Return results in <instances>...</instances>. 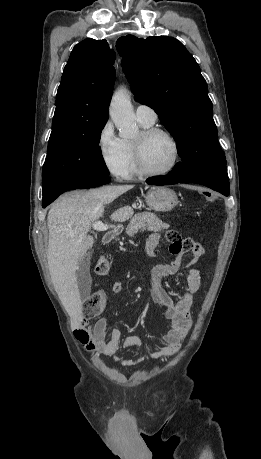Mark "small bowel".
Returning a JSON list of instances; mask_svg holds the SVG:
<instances>
[{"label":"small bowel","mask_w":261,"mask_h":459,"mask_svg":"<svg viewBox=\"0 0 261 459\" xmlns=\"http://www.w3.org/2000/svg\"><path fill=\"white\" fill-rule=\"evenodd\" d=\"M172 237H168L169 252L173 256L170 264L159 267L151 277L152 299L164 309V317L169 322L170 330L162 336L158 345L149 348L135 360H123L116 353L127 347H136L142 350L143 342L138 336L122 338L118 329L107 333V321L105 318L98 319L93 325L87 320H81L74 330V336L82 347L89 353L100 354L111 358L123 367L134 366L148 358L165 359L176 354L182 341L191 326L190 308L192 296L200 287V272L194 267L202 255V247L190 238H182L177 232L172 231ZM160 236L156 233L149 237L148 251L155 253L159 246ZM191 253L187 263L186 283L179 290V298L174 300L162 285V278L176 274L182 266L183 256ZM123 288L120 281L112 286V292L117 294Z\"/></svg>","instance_id":"1"}]
</instances>
